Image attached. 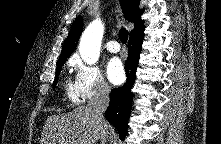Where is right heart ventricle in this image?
<instances>
[{
  "instance_id": "1",
  "label": "right heart ventricle",
  "mask_w": 221,
  "mask_h": 144,
  "mask_svg": "<svg viewBox=\"0 0 221 144\" xmlns=\"http://www.w3.org/2000/svg\"><path fill=\"white\" fill-rule=\"evenodd\" d=\"M65 91L71 102L76 103L79 100L76 95L75 87L69 81H67L65 85Z\"/></svg>"
}]
</instances>
